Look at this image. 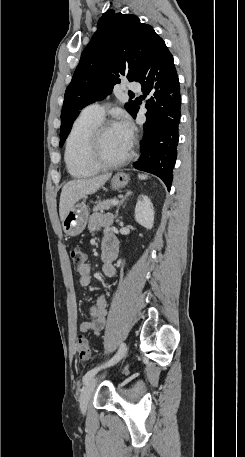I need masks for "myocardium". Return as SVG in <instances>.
Segmentation results:
<instances>
[{
	"label": "myocardium",
	"mask_w": 245,
	"mask_h": 457,
	"mask_svg": "<svg viewBox=\"0 0 245 457\" xmlns=\"http://www.w3.org/2000/svg\"><path fill=\"white\" fill-rule=\"evenodd\" d=\"M112 127L113 125L111 123L99 122L97 125L92 127L85 136L80 159L85 166L94 171L116 167L127 162L132 156V144H130L128 150L119 158L95 161L91 157V148L93 143L99 141L103 133Z\"/></svg>",
	"instance_id": "1"
}]
</instances>
